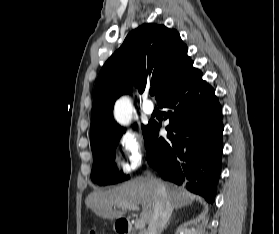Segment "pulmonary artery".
<instances>
[{
    "label": "pulmonary artery",
    "mask_w": 279,
    "mask_h": 234,
    "mask_svg": "<svg viewBox=\"0 0 279 234\" xmlns=\"http://www.w3.org/2000/svg\"><path fill=\"white\" fill-rule=\"evenodd\" d=\"M142 109L146 114L150 115L154 112V105L149 99H146L143 103Z\"/></svg>",
    "instance_id": "pulmonary-artery-1"
}]
</instances>
